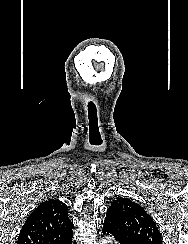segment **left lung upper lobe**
Masks as SVG:
<instances>
[{
    "label": "left lung upper lobe",
    "instance_id": "left-lung-upper-lobe-1",
    "mask_svg": "<svg viewBox=\"0 0 188 244\" xmlns=\"http://www.w3.org/2000/svg\"><path fill=\"white\" fill-rule=\"evenodd\" d=\"M107 214L128 244H162L160 231L145 209L128 198L112 201Z\"/></svg>",
    "mask_w": 188,
    "mask_h": 244
}]
</instances>
